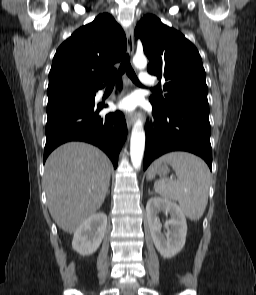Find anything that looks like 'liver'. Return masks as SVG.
I'll return each mask as SVG.
<instances>
[{
	"label": "liver",
	"instance_id": "liver-1",
	"mask_svg": "<svg viewBox=\"0 0 256 295\" xmlns=\"http://www.w3.org/2000/svg\"><path fill=\"white\" fill-rule=\"evenodd\" d=\"M111 162L98 148L66 143L45 164L49 212L63 231L73 233L102 206L110 185Z\"/></svg>",
	"mask_w": 256,
	"mask_h": 295
}]
</instances>
